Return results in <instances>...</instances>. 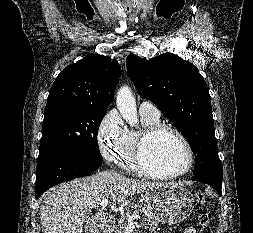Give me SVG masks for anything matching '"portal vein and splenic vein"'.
Returning a JSON list of instances; mask_svg holds the SVG:
<instances>
[{"label": "portal vein and splenic vein", "mask_w": 253, "mask_h": 233, "mask_svg": "<svg viewBox=\"0 0 253 233\" xmlns=\"http://www.w3.org/2000/svg\"><path fill=\"white\" fill-rule=\"evenodd\" d=\"M100 206H101L102 208L107 207V206H108V200H107V199L102 200V201L100 202ZM126 216H127V224H128V225H132L134 220L140 219V216H139L138 214H129V213H128Z\"/></svg>", "instance_id": "18ae733b"}]
</instances>
